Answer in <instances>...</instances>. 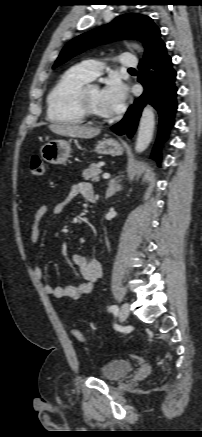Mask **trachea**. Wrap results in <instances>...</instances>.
<instances>
[{"instance_id": "obj_1", "label": "trachea", "mask_w": 202, "mask_h": 437, "mask_svg": "<svg viewBox=\"0 0 202 437\" xmlns=\"http://www.w3.org/2000/svg\"><path fill=\"white\" fill-rule=\"evenodd\" d=\"M129 70H134L133 68H130Z\"/></svg>"}]
</instances>
